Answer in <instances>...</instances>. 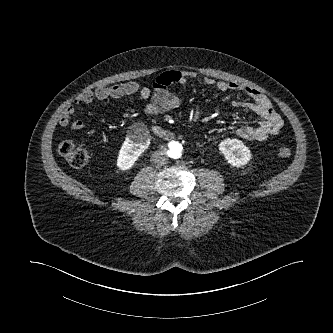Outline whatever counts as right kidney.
Returning a JSON list of instances; mask_svg holds the SVG:
<instances>
[{
    "label": "right kidney",
    "mask_w": 333,
    "mask_h": 333,
    "mask_svg": "<svg viewBox=\"0 0 333 333\" xmlns=\"http://www.w3.org/2000/svg\"><path fill=\"white\" fill-rule=\"evenodd\" d=\"M149 136L127 137L123 142L117 158V167L126 171L133 167L138 157L149 146Z\"/></svg>",
    "instance_id": "ca27d5eb"
}]
</instances>
